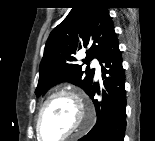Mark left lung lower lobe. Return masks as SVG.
Instances as JSON below:
<instances>
[{"instance_id":"left-lung-lower-lobe-1","label":"left lung lower lobe","mask_w":155,"mask_h":141,"mask_svg":"<svg viewBox=\"0 0 155 141\" xmlns=\"http://www.w3.org/2000/svg\"><path fill=\"white\" fill-rule=\"evenodd\" d=\"M99 61L105 89L101 92L102 99L100 100L93 98L96 90L100 93L95 85L87 93L95 105L97 121L80 141H124L126 129L125 72L116 34L107 44ZM113 98L119 100L117 110L112 108V102L115 100L112 101Z\"/></svg>"}]
</instances>
